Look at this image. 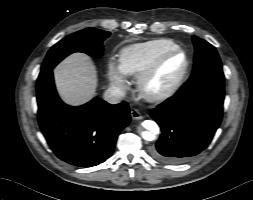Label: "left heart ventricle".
<instances>
[{
	"mask_svg": "<svg viewBox=\"0 0 253 200\" xmlns=\"http://www.w3.org/2000/svg\"><path fill=\"white\" fill-rule=\"evenodd\" d=\"M184 65V57L180 54L168 57L159 67L149 83V89L160 91L172 83Z\"/></svg>",
	"mask_w": 253,
	"mask_h": 200,
	"instance_id": "left-heart-ventricle-1",
	"label": "left heart ventricle"
}]
</instances>
